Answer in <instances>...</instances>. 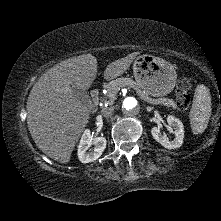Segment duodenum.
<instances>
[{
  "label": "duodenum",
  "mask_w": 221,
  "mask_h": 221,
  "mask_svg": "<svg viewBox=\"0 0 221 221\" xmlns=\"http://www.w3.org/2000/svg\"><path fill=\"white\" fill-rule=\"evenodd\" d=\"M92 98H93L94 103L97 105L99 103V91L98 90H93Z\"/></svg>",
  "instance_id": "duodenum-1"
}]
</instances>
